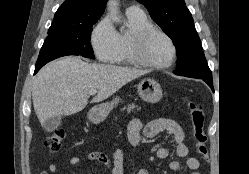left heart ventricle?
Segmentation results:
<instances>
[{"label":"left heart ventricle","mask_w":249,"mask_h":174,"mask_svg":"<svg viewBox=\"0 0 249 174\" xmlns=\"http://www.w3.org/2000/svg\"><path fill=\"white\" fill-rule=\"evenodd\" d=\"M144 55L154 63H166L172 57V47L163 36L155 34L148 39Z\"/></svg>","instance_id":"1"}]
</instances>
